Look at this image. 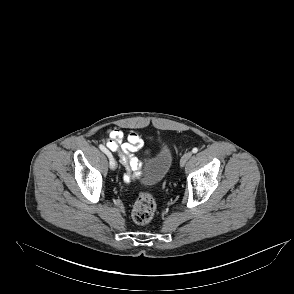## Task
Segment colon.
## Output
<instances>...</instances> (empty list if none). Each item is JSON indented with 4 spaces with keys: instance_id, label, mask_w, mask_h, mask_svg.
Masks as SVG:
<instances>
[{
    "instance_id": "colon-1",
    "label": "colon",
    "mask_w": 294,
    "mask_h": 294,
    "mask_svg": "<svg viewBox=\"0 0 294 294\" xmlns=\"http://www.w3.org/2000/svg\"><path fill=\"white\" fill-rule=\"evenodd\" d=\"M156 211V203L153 196L147 192H141L132 210V219L138 225L148 224L154 217Z\"/></svg>"
}]
</instances>
